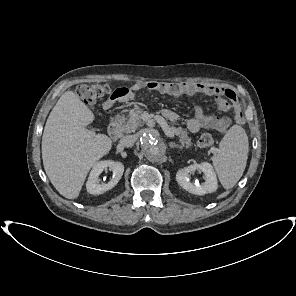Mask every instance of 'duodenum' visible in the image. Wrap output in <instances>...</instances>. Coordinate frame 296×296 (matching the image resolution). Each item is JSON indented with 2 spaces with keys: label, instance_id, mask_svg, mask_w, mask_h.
Returning <instances> with one entry per match:
<instances>
[{
  "label": "duodenum",
  "instance_id": "1",
  "mask_svg": "<svg viewBox=\"0 0 296 296\" xmlns=\"http://www.w3.org/2000/svg\"><path fill=\"white\" fill-rule=\"evenodd\" d=\"M108 133L112 139H117L120 133L119 123L116 119L112 120L108 126Z\"/></svg>",
  "mask_w": 296,
  "mask_h": 296
}]
</instances>
